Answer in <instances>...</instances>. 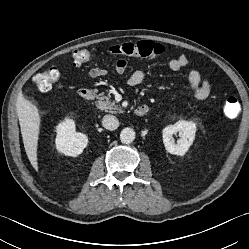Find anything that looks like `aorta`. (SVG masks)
<instances>
[{
	"label": "aorta",
	"instance_id": "aorta-1",
	"mask_svg": "<svg viewBox=\"0 0 249 249\" xmlns=\"http://www.w3.org/2000/svg\"><path fill=\"white\" fill-rule=\"evenodd\" d=\"M135 139V131L132 128H124L120 133V141L124 144L132 143Z\"/></svg>",
	"mask_w": 249,
	"mask_h": 249
}]
</instances>
